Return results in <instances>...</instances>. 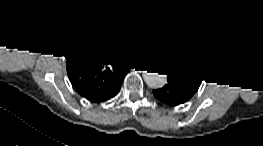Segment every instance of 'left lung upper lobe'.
Masks as SVG:
<instances>
[{"instance_id":"left-lung-upper-lobe-1","label":"left lung upper lobe","mask_w":263,"mask_h":146,"mask_svg":"<svg viewBox=\"0 0 263 146\" xmlns=\"http://www.w3.org/2000/svg\"><path fill=\"white\" fill-rule=\"evenodd\" d=\"M154 60L162 65L167 78L196 93L204 79V66L198 54L178 36H163L153 47Z\"/></svg>"}]
</instances>
